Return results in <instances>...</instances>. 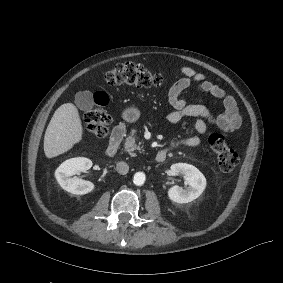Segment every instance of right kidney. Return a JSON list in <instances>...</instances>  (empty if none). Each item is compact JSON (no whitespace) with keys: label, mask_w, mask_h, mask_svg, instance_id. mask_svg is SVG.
Listing matches in <instances>:
<instances>
[{"label":"right kidney","mask_w":283,"mask_h":283,"mask_svg":"<svg viewBox=\"0 0 283 283\" xmlns=\"http://www.w3.org/2000/svg\"><path fill=\"white\" fill-rule=\"evenodd\" d=\"M92 167V161L85 157L71 158L64 161L55 171V177L60 186L77 195H83L94 189V184L77 177H72L80 171H86Z\"/></svg>","instance_id":"1"}]
</instances>
